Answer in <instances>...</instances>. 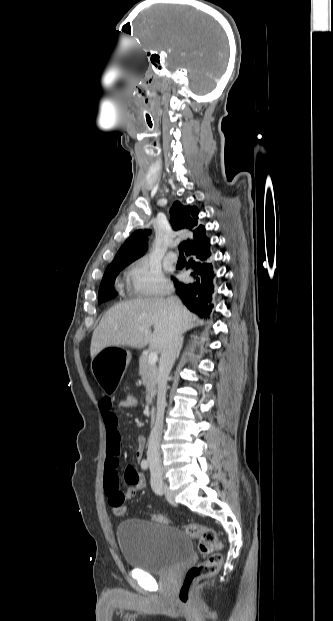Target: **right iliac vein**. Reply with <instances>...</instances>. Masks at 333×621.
<instances>
[{"label": "right iliac vein", "mask_w": 333, "mask_h": 621, "mask_svg": "<svg viewBox=\"0 0 333 621\" xmlns=\"http://www.w3.org/2000/svg\"><path fill=\"white\" fill-rule=\"evenodd\" d=\"M156 474L162 478V472L160 470H156Z\"/></svg>", "instance_id": "obj_1"}]
</instances>
